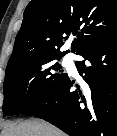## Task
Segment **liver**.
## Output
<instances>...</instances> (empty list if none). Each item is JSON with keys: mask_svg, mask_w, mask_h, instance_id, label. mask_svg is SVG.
<instances>
[{"mask_svg": "<svg viewBox=\"0 0 117 136\" xmlns=\"http://www.w3.org/2000/svg\"><path fill=\"white\" fill-rule=\"evenodd\" d=\"M3 134L4 136H66L53 125L41 120L8 124Z\"/></svg>", "mask_w": 117, "mask_h": 136, "instance_id": "6515ba94", "label": "liver"}]
</instances>
